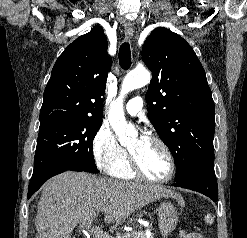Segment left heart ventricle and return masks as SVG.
<instances>
[{
  "label": "left heart ventricle",
  "mask_w": 247,
  "mask_h": 238,
  "mask_svg": "<svg viewBox=\"0 0 247 238\" xmlns=\"http://www.w3.org/2000/svg\"><path fill=\"white\" fill-rule=\"evenodd\" d=\"M129 150L135 156L144 174L152 178H160L167 174L168 159L163 149L155 142L145 139H134Z\"/></svg>",
  "instance_id": "obj_1"
}]
</instances>
